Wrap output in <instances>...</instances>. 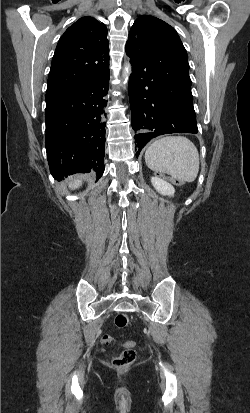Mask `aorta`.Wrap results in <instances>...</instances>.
<instances>
[{
  "label": "aorta",
  "mask_w": 250,
  "mask_h": 413,
  "mask_svg": "<svg viewBox=\"0 0 250 413\" xmlns=\"http://www.w3.org/2000/svg\"><path fill=\"white\" fill-rule=\"evenodd\" d=\"M132 72V67L131 64L129 62H127L122 70V84L125 86L128 83L130 74Z\"/></svg>",
  "instance_id": "762f6f07"
}]
</instances>
